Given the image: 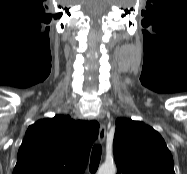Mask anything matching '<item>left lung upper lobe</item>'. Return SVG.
<instances>
[{
  "instance_id": "left-lung-upper-lobe-1",
  "label": "left lung upper lobe",
  "mask_w": 187,
  "mask_h": 174,
  "mask_svg": "<svg viewBox=\"0 0 187 174\" xmlns=\"http://www.w3.org/2000/svg\"><path fill=\"white\" fill-rule=\"evenodd\" d=\"M113 152L117 174H175L164 139L143 122L117 119Z\"/></svg>"
}]
</instances>
